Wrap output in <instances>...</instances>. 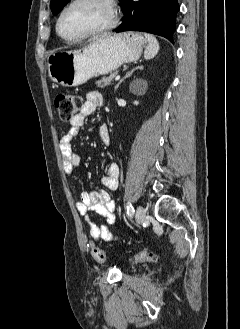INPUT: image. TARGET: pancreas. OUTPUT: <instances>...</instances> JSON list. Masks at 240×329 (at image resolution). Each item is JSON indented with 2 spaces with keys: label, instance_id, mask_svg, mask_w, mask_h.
Wrapping results in <instances>:
<instances>
[{
  "label": "pancreas",
  "instance_id": "pancreas-1",
  "mask_svg": "<svg viewBox=\"0 0 240 329\" xmlns=\"http://www.w3.org/2000/svg\"><path fill=\"white\" fill-rule=\"evenodd\" d=\"M116 75H117V72H114L107 77H103L102 79H99L98 81H96V85L98 87L105 88L111 84V81L116 77Z\"/></svg>",
  "mask_w": 240,
  "mask_h": 329
}]
</instances>
